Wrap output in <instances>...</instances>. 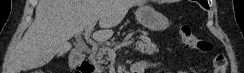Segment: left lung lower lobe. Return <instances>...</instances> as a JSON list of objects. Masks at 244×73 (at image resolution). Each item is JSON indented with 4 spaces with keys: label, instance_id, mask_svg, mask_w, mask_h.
Returning <instances> with one entry per match:
<instances>
[{
    "label": "left lung lower lobe",
    "instance_id": "1",
    "mask_svg": "<svg viewBox=\"0 0 244 73\" xmlns=\"http://www.w3.org/2000/svg\"><path fill=\"white\" fill-rule=\"evenodd\" d=\"M199 3H201V5L204 4V0H198ZM206 9H209V7H207Z\"/></svg>",
    "mask_w": 244,
    "mask_h": 73
}]
</instances>
